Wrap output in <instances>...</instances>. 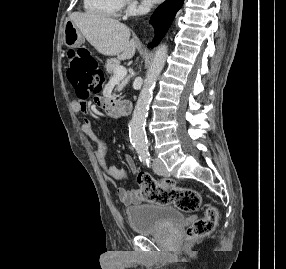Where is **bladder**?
<instances>
[{"mask_svg": "<svg viewBox=\"0 0 286 269\" xmlns=\"http://www.w3.org/2000/svg\"><path fill=\"white\" fill-rule=\"evenodd\" d=\"M131 229L138 234L155 233L180 222L182 213L169 204L144 203L126 209Z\"/></svg>", "mask_w": 286, "mask_h": 269, "instance_id": "bladder-1", "label": "bladder"}]
</instances>
